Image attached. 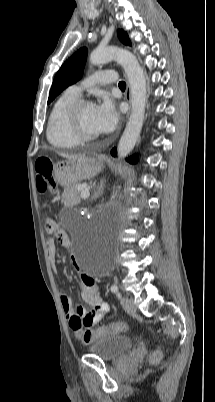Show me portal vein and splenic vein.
I'll list each match as a JSON object with an SVG mask.
<instances>
[{
	"mask_svg": "<svg viewBox=\"0 0 215 402\" xmlns=\"http://www.w3.org/2000/svg\"><path fill=\"white\" fill-rule=\"evenodd\" d=\"M81 198L82 199H86L89 197L90 192H89V188H81Z\"/></svg>",
	"mask_w": 215,
	"mask_h": 402,
	"instance_id": "obj_1",
	"label": "portal vein and splenic vein"
}]
</instances>
